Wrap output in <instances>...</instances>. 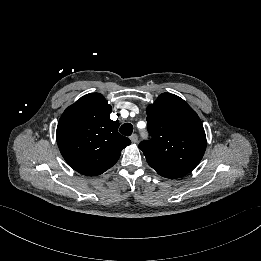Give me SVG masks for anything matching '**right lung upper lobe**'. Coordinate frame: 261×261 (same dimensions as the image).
<instances>
[{
  "instance_id": "1",
  "label": "right lung upper lobe",
  "mask_w": 261,
  "mask_h": 261,
  "mask_svg": "<svg viewBox=\"0 0 261 261\" xmlns=\"http://www.w3.org/2000/svg\"><path fill=\"white\" fill-rule=\"evenodd\" d=\"M111 106L100 93L81 97L62 114L56 132L60 152L77 172L96 176L112 167L131 141L110 119Z\"/></svg>"
}]
</instances>
